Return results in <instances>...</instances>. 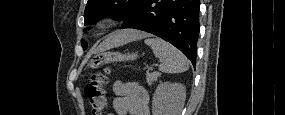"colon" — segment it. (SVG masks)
I'll use <instances>...</instances> for the list:
<instances>
[{
	"label": "colon",
	"mask_w": 285,
	"mask_h": 115,
	"mask_svg": "<svg viewBox=\"0 0 285 115\" xmlns=\"http://www.w3.org/2000/svg\"><path fill=\"white\" fill-rule=\"evenodd\" d=\"M108 74L109 68H103L93 74L85 86V95L93 115H102L106 109L105 85L108 81Z\"/></svg>",
	"instance_id": "5ec220e1"
}]
</instances>
